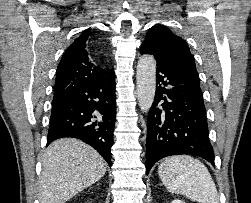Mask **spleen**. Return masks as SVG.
<instances>
[{"instance_id": "obj_1", "label": "spleen", "mask_w": 251, "mask_h": 203, "mask_svg": "<svg viewBox=\"0 0 251 203\" xmlns=\"http://www.w3.org/2000/svg\"><path fill=\"white\" fill-rule=\"evenodd\" d=\"M159 177L168 191L185 195L200 203H219L215 183L207 167L188 156H171L158 167Z\"/></svg>"}]
</instances>
